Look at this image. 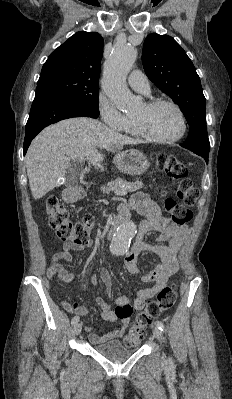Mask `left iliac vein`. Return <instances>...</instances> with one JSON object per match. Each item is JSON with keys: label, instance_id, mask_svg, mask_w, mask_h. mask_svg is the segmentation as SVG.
<instances>
[{"label": "left iliac vein", "instance_id": "left-iliac-vein-1", "mask_svg": "<svg viewBox=\"0 0 232 399\" xmlns=\"http://www.w3.org/2000/svg\"><path fill=\"white\" fill-rule=\"evenodd\" d=\"M152 332L154 333L155 339H156V340H161V339H162V332H161V330L155 329V330H152Z\"/></svg>", "mask_w": 232, "mask_h": 399}]
</instances>
